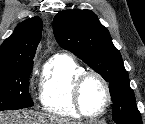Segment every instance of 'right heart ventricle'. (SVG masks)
<instances>
[{
  "label": "right heart ventricle",
  "instance_id": "obj_1",
  "mask_svg": "<svg viewBox=\"0 0 145 124\" xmlns=\"http://www.w3.org/2000/svg\"><path fill=\"white\" fill-rule=\"evenodd\" d=\"M85 69L73 58L58 55L46 64L41 78L39 101L42 108L59 117L78 118L73 102V83Z\"/></svg>",
  "mask_w": 145,
  "mask_h": 124
}]
</instances>
